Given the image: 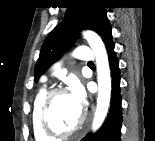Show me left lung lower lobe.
I'll list each match as a JSON object with an SVG mask.
<instances>
[{
	"mask_svg": "<svg viewBox=\"0 0 155 141\" xmlns=\"http://www.w3.org/2000/svg\"><path fill=\"white\" fill-rule=\"evenodd\" d=\"M106 50L109 58L112 77L111 106L107 119L102 127L95 134H89L81 141H120L122 113L120 97V69L119 61L114 51L112 35L106 41Z\"/></svg>",
	"mask_w": 155,
	"mask_h": 141,
	"instance_id": "obj_1",
	"label": "left lung lower lobe"
}]
</instances>
